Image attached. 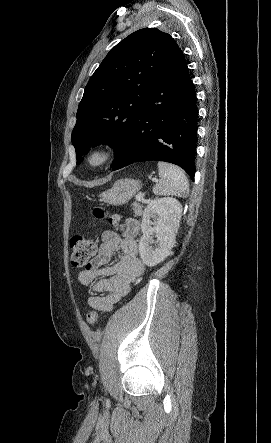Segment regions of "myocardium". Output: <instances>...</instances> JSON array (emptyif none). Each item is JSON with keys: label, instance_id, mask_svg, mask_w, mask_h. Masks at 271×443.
Segmentation results:
<instances>
[{"label": "myocardium", "instance_id": "f54148a6", "mask_svg": "<svg viewBox=\"0 0 271 443\" xmlns=\"http://www.w3.org/2000/svg\"><path fill=\"white\" fill-rule=\"evenodd\" d=\"M94 153H100L101 160L96 164H90L89 158ZM116 155V147L114 143L109 139L98 140L91 143L84 155H83V164L87 169L90 170H99L107 165H109Z\"/></svg>", "mask_w": 271, "mask_h": 443}]
</instances>
